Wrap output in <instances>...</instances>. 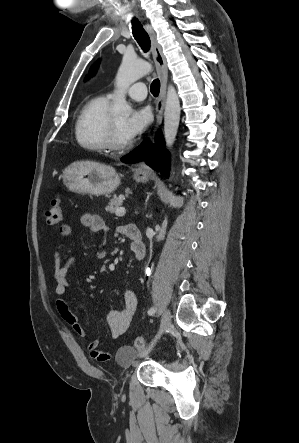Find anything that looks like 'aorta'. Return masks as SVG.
Listing matches in <instances>:
<instances>
[{
  "instance_id": "1",
  "label": "aorta",
  "mask_w": 299,
  "mask_h": 443,
  "mask_svg": "<svg viewBox=\"0 0 299 443\" xmlns=\"http://www.w3.org/2000/svg\"><path fill=\"white\" fill-rule=\"evenodd\" d=\"M152 71V65L128 55L123 57L122 63L116 75L117 95L110 112L116 118H127L132 109L125 98L126 89L141 77ZM180 101L176 89L168 86L165 112H164V137L166 147L171 149L177 135L180 121Z\"/></svg>"
}]
</instances>
